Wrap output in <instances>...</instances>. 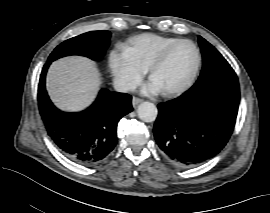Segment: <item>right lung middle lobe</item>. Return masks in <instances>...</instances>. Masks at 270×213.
<instances>
[{
    "label": "right lung middle lobe",
    "mask_w": 270,
    "mask_h": 213,
    "mask_svg": "<svg viewBox=\"0 0 270 213\" xmlns=\"http://www.w3.org/2000/svg\"><path fill=\"white\" fill-rule=\"evenodd\" d=\"M110 35L109 31H91L68 39L54 49L48 62L68 55H81L99 60L109 45Z\"/></svg>",
    "instance_id": "dd1d6c3e"
}]
</instances>
